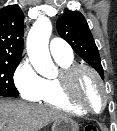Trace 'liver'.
Segmentation results:
<instances>
[{
    "mask_svg": "<svg viewBox=\"0 0 117 131\" xmlns=\"http://www.w3.org/2000/svg\"><path fill=\"white\" fill-rule=\"evenodd\" d=\"M68 117L48 106L16 100H0V131H39L44 126Z\"/></svg>",
    "mask_w": 117,
    "mask_h": 131,
    "instance_id": "obj_1",
    "label": "liver"
}]
</instances>
